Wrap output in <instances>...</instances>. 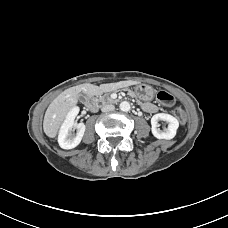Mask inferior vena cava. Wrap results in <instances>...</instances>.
<instances>
[{"label":"inferior vena cava","mask_w":228,"mask_h":228,"mask_svg":"<svg viewBox=\"0 0 228 228\" xmlns=\"http://www.w3.org/2000/svg\"><path fill=\"white\" fill-rule=\"evenodd\" d=\"M114 109H115L114 105L106 104V105L102 106L101 111L102 112H109V111H113Z\"/></svg>","instance_id":"obj_1"}]
</instances>
